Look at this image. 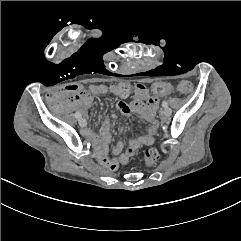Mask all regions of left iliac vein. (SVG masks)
Masks as SVG:
<instances>
[{
  "instance_id": "4c4485c4",
  "label": "left iliac vein",
  "mask_w": 241,
  "mask_h": 241,
  "mask_svg": "<svg viewBox=\"0 0 241 241\" xmlns=\"http://www.w3.org/2000/svg\"><path fill=\"white\" fill-rule=\"evenodd\" d=\"M171 115V110L166 107L162 112H161V117L163 120L167 119Z\"/></svg>"
}]
</instances>
